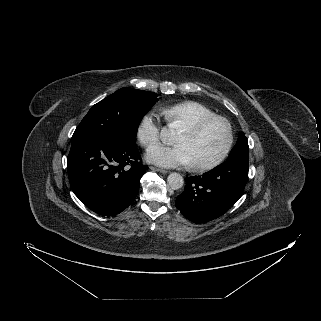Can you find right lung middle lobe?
<instances>
[{
	"label": "right lung middle lobe",
	"mask_w": 321,
	"mask_h": 321,
	"mask_svg": "<svg viewBox=\"0 0 321 321\" xmlns=\"http://www.w3.org/2000/svg\"><path fill=\"white\" fill-rule=\"evenodd\" d=\"M157 94L122 88L95 104L76 128L72 140L84 137L134 141L142 116Z\"/></svg>",
	"instance_id": "1"
}]
</instances>
